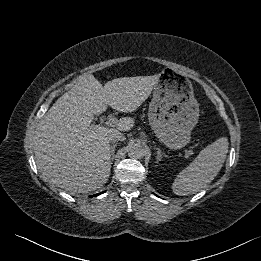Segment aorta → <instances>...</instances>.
Here are the masks:
<instances>
[{
  "instance_id": "obj_1",
  "label": "aorta",
  "mask_w": 261,
  "mask_h": 261,
  "mask_svg": "<svg viewBox=\"0 0 261 261\" xmlns=\"http://www.w3.org/2000/svg\"><path fill=\"white\" fill-rule=\"evenodd\" d=\"M128 155L133 159H141L145 155V149L139 142H134L129 145Z\"/></svg>"
}]
</instances>
